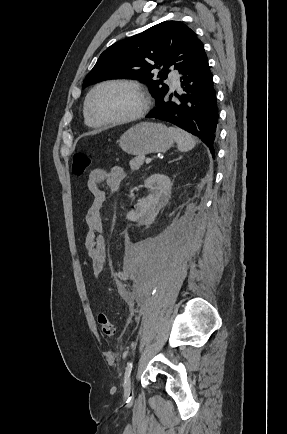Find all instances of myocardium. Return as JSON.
Masks as SVG:
<instances>
[{
  "instance_id": "myocardium-1",
  "label": "myocardium",
  "mask_w": 287,
  "mask_h": 434,
  "mask_svg": "<svg viewBox=\"0 0 287 434\" xmlns=\"http://www.w3.org/2000/svg\"><path fill=\"white\" fill-rule=\"evenodd\" d=\"M107 85L125 86V87L131 88L134 91H136L142 99V104H141L140 108L134 114L129 115V116L124 117V118L110 119V120L98 119L96 116H94V114L91 111V107H90L91 99H92V96L94 95V93L98 89H100L104 86H107ZM150 105H151V99H150V96L148 94V91L139 82H136L133 80H126V79H108V80H104V81L96 84L89 91V93L85 99L84 110H85V113L88 116V118L94 124H96L98 126L122 125V124H127V123L134 122V121L141 119L148 112Z\"/></svg>"
}]
</instances>
